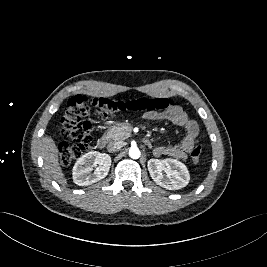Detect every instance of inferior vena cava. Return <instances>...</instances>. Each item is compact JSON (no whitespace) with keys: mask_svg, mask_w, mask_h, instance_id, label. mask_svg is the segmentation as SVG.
I'll return each mask as SVG.
<instances>
[{"mask_svg":"<svg viewBox=\"0 0 267 267\" xmlns=\"http://www.w3.org/2000/svg\"><path fill=\"white\" fill-rule=\"evenodd\" d=\"M124 146V143L122 141H114L110 142L107 146L108 152H116L120 150Z\"/></svg>","mask_w":267,"mask_h":267,"instance_id":"obj_1","label":"inferior vena cava"}]
</instances>
